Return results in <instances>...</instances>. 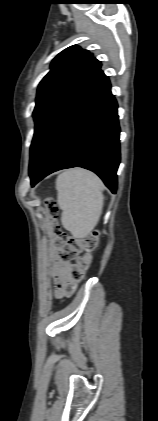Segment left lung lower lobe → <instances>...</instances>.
<instances>
[{"mask_svg":"<svg viewBox=\"0 0 158 421\" xmlns=\"http://www.w3.org/2000/svg\"><path fill=\"white\" fill-rule=\"evenodd\" d=\"M110 88L99 70L54 117L30 160L32 186L52 172L79 166L95 172L116 192L120 128Z\"/></svg>","mask_w":158,"mask_h":421,"instance_id":"obj_1","label":"left lung lower lobe"}]
</instances>
